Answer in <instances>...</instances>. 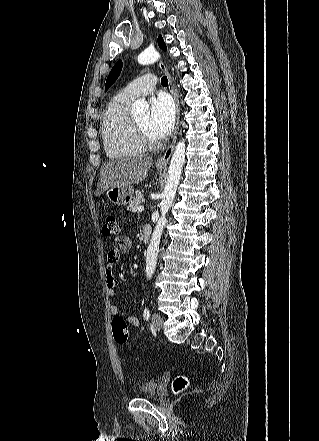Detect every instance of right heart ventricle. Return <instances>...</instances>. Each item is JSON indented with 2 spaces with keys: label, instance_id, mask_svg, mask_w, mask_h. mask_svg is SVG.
Returning <instances> with one entry per match:
<instances>
[{
  "label": "right heart ventricle",
  "instance_id": "right-heart-ventricle-1",
  "mask_svg": "<svg viewBox=\"0 0 319 441\" xmlns=\"http://www.w3.org/2000/svg\"><path fill=\"white\" fill-rule=\"evenodd\" d=\"M131 102L118 94L105 109L101 135L105 151L111 158L135 157L143 151L129 114Z\"/></svg>",
  "mask_w": 319,
  "mask_h": 441
}]
</instances>
